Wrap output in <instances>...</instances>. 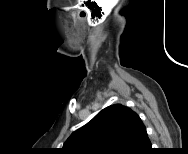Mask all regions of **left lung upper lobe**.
I'll list each match as a JSON object with an SVG mask.
<instances>
[{"instance_id":"left-lung-upper-lobe-1","label":"left lung upper lobe","mask_w":188,"mask_h":154,"mask_svg":"<svg viewBox=\"0 0 188 154\" xmlns=\"http://www.w3.org/2000/svg\"><path fill=\"white\" fill-rule=\"evenodd\" d=\"M135 112L114 104L73 132L62 150L68 154H126Z\"/></svg>"}]
</instances>
